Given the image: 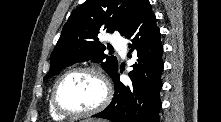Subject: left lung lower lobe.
<instances>
[{"label":"left lung lower lobe","instance_id":"obj_1","mask_svg":"<svg viewBox=\"0 0 221 122\" xmlns=\"http://www.w3.org/2000/svg\"><path fill=\"white\" fill-rule=\"evenodd\" d=\"M124 36L131 41L130 52L136 51L138 57L134 71L129 74L133 90L120 82L117 71L112 77L115 85L112 102L93 117L113 122H159L163 46L149 0L137 2Z\"/></svg>","mask_w":221,"mask_h":122}]
</instances>
